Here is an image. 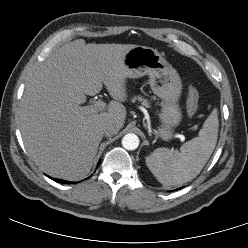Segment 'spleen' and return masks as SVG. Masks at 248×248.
<instances>
[{"label": "spleen", "instance_id": "obj_1", "mask_svg": "<svg viewBox=\"0 0 248 248\" xmlns=\"http://www.w3.org/2000/svg\"><path fill=\"white\" fill-rule=\"evenodd\" d=\"M218 110L205 120L198 137L184 143L180 150L158 148L146 157V164L162 184L177 186L194 179L215 149L218 137Z\"/></svg>", "mask_w": 248, "mask_h": 248}]
</instances>
